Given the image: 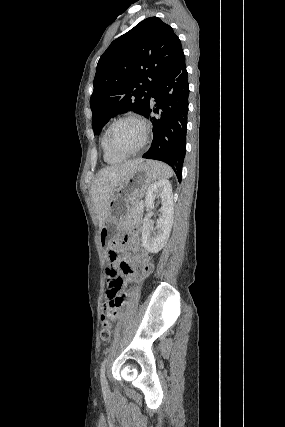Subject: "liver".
<instances>
[{
	"label": "liver",
	"instance_id": "obj_1",
	"mask_svg": "<svg viewBox=\"0 0 285 427\" xmlns=\"http://www.w3.org/2000/svg\"><path fill=\"white\" fill-rule=\"evenodd\" d=\"M143 162L135 159L120 165L110 166L102 169L91 186V196L98 216L99 229L106 221L111 196L128 176L131 169Z\"/></svg>",
	"mask_w": 285,
	"mask_h": 427
}]
</instances>
